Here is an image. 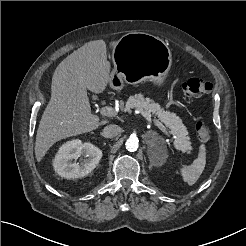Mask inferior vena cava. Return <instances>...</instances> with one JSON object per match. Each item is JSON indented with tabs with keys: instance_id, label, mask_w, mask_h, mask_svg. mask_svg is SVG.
I'll return each mask as SVG.
<instances>
[{
	"instance_id": "inferior-vena-cava-1",
	"label": "inferior vena cava",
	"mask_w": 246,
	"mask_h": 246,
	"mask_svg": "<svg viewBox=\"0 0 246 246\" xmlns=\"http://www.w3.org/2000/svg\"><path fill=\"white\" fill-rule=\"evenodd\" d=\"M121 132V128L118 125L110 124L104 127L102 136L106 138L116 137Z\"/></svg>"
}]
</instances>
